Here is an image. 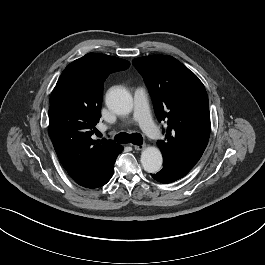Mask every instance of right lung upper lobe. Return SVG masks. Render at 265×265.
Listing matches in <instances>:
<instances>
[{
  "instance_id": "cb5924a9",
  "label": "right lung upper lobe",
  "mask_w": 265,
  "mask_h": 265,
  "mask_svg": "<svg viewBox=\"0 0 265 265\" xmlns=\"http://www.w3.org/2000/svg\"><path fill=\"white\" fill-rule=\"evenodd\" d=\"M129 65L117 57L88 53L62 72L50 98L49 135L70 176L83 172L99 156L119 146L91 136L101 117L104 81Z\"/></svg>"
}]
</instances>
